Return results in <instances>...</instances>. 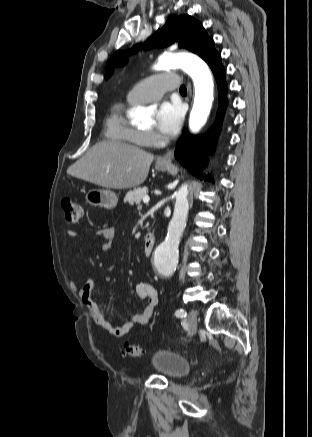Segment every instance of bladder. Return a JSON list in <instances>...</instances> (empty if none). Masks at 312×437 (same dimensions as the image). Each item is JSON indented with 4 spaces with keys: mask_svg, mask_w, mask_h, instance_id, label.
I'll return each instance as SVG.
<instances>
[{
    "mask_svg": "<svg viewBox=\"0 0 312 437\" xmlns=\"http://www.w3.org/2000/svg\"><path fill=\"white\" fill-rule=\"evenodd\" d=\"M150 367L168 380H177L190 373V363L168 349H158L150 356Z\"/></svg>",
    "mask_w": 312,
    "mask_h": 437,
    "instance_id": "obj_1",
    "label": "bladder"
}]
</instances>
